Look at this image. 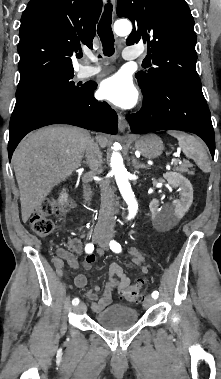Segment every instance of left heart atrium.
<instances>
[{
  "label": "left heart atrium",
  "mask_w": 221,
  "mask_h": 379,
  "mask_svg": "<svg viewBox=\"0 0 221 379\" xmlns=\"http://www.w3.org/2000/svg\"><path fill=\"white\" fill-rule=\"evenodd\" d=\"M98 92L101 99L120 108L132 107L138 98L131 79L120 73L103 80Z\"/></svg>",
  "instance_id": "39dd6f15"
}]
</instances>
